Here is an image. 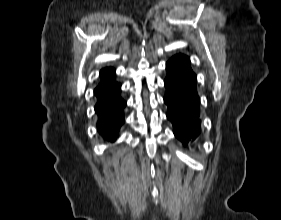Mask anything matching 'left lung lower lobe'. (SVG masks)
I'll return each mask as SVG.
<instances>
[{
	"label": "left lung lower lobe",
	"instance_id": "1",
	"mask_svg": "<svg viewBox=\"0 0 281 220\" xmlns=\"http://www.w3.org/2000/svg\"><path fill=\"white\" fill-rule=\"evenodd\" d=\"M164 102L167 118L173 124L175 136L184 146L193 144L200 133V99L197 77L191 69L189 57L177 54L166 63Z\"/></svg>",
	"mask_w": 281,
	"mask_h": 220
}]
</instances>
